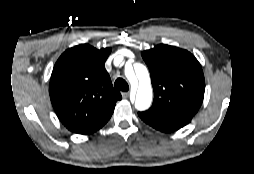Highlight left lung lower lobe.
Instances as JSON below:
<instances>
[{
    "label": "left lung lower lobe",
    "instance_id": "obj_1",
    "mask_svg": "<svg viewBox=\"0 0 254 174\" xmlns=\"http://www.w3.org/2000/svg\"><path fill=\"white\" fill-rule=\"evenodd\" d=\"M138 115L145 123L161 132L166 133H170L182 128L192 119L188 117L169 115L151 108L145 112H138Z\"/></svg>",
    "mask_w": 254,
    "mask_h": 174
}]
</instances>
